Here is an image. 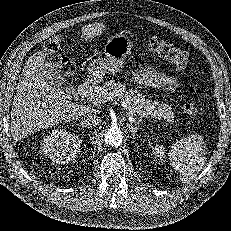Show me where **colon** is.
Instances as JSON below:
<instances>
[{
  "label": "colon",
  "instance_id": "obj_1",
  "mask_svg": "<svg viewBox=\"0 0 231 231\" xmlns=\"http://www.w3.org/2000/svg\"><path fill=\"white\" fill-rule=\"evenodd\" d=\"M60 38L55 37L50 40L46 46L49 60L61 73L70 76L74 72V65L59 53ZM148 49L166 59L170 63L178 67H183L188 63L189 55L187 51L178 48L164 40L152 39L148 42ZM183 110L188 115H195L198 107L193 101H186L183 104Z\"/></svg>",
  "mask_w": 231,
  "mask_h": 231
}]
</instances>
